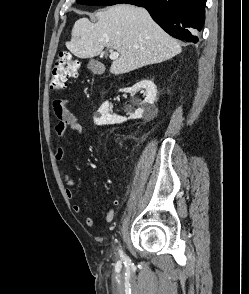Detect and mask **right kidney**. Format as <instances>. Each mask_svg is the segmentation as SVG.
<instances>
[{
	"label": "right kidney",
	"instance_id": "1",
	"mask_svg": "<svg viewBox=\"0 0 249 294\" xmlns=\"http://www.w3.org/2000/svg\"><path fill=\"white\" fill-rule=\"evenodd\" d=\"M140 89H144L146 91L145 98L143 101L138 103L139 107L130 114L129 119L144 118L146 120H151L158 112V109L154 106L157 88L153 81L143 79L132 87L120 89L119 91L129 92L131 95H133ZM126 120V118L116 114H110L108 101L104 102L98 109L97 113L94 115V123L99 126L120 124Z\"/></svg>",
	"mask_w": 249,
	"mask_h": 294
}]
</instances>
